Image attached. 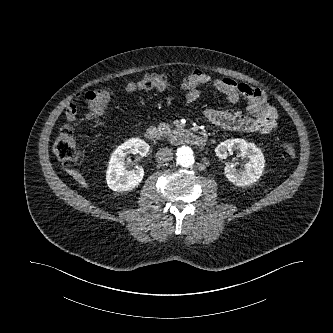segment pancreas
I'll return each mask as SVG.
<instances>
[{"label": "pancreas", "mask_w": 333, "mask_h": 333, "mask_svg": "<svg viewBox=\"0 0 333 333\" xmlns=\"http://www.w3.org/2000/svg\"><path fill=\"white\" fill-rule=\"evenodd\" d=\"M158 128L163 135L171 136L173 133L169 124L160 123Z\"/></svg>", "instance_id": "1"}]
</instances>
